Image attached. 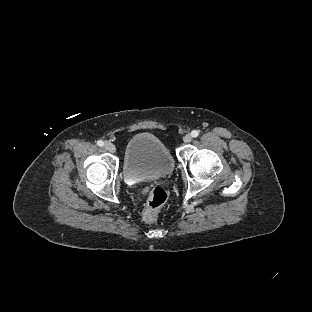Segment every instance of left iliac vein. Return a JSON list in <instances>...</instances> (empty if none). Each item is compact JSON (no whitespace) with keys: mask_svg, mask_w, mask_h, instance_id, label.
Wrapping results in <instances>:
<instances>
[{"mask_svg":"<svg viewBox=\"0 0 312 312\" xmlns=\"http://www.w3.org/2000/svg\"><path fill=\"white\" fill-rule=\"evenodd\" d=\"M191 140H192V135H191V134H186V135L183 137V141H184L185 143H189V142H191Z\"/></svg>","mask_w":312,"mask_h":312,"instance_id":"4c4485c4","label":"left iliac vein"}]
</instances>
